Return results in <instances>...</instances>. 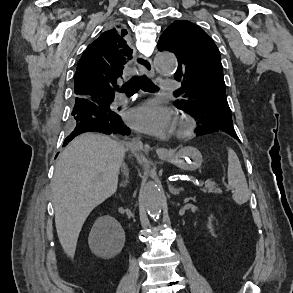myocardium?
Masks as SVG:
<instances>
[{"label": "myocardium", "mask_w": 293, "mask_h": 293, "mask_svg": "<svg viewBox=\"0 0 293 293\" xmlns=\"http://www.w3.org/2000/svg\"><path fill=\"white\" fill-rule=\"evenodd\" d=\"M195 129V121L186 115L180 116L176 120V135L179 138L190 136Z\"/></svg>", "instance_id": "obj_1"}]
</instances>
